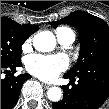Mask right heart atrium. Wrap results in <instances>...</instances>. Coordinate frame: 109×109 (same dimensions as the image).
I'll return each instance as SVG.
<instances>
[{
	"instance_id": "d8ad5b80",
	"label": "right heart atrium",
	"mask_w": 109,
	"mask_h": 109,
	"mask_svg": "<svg viewBox=\"0 0 109 109\" xmlns=\"http://www.w3.org/2000/svg\"><path fill=\"white\" fill-rule=\"evenodd\" d=\"M23 49L29 48L30 47V40H27L24 44H23Z\"/></svg>"
}]
</instances>
